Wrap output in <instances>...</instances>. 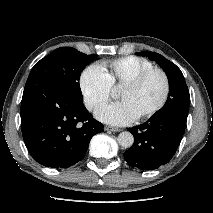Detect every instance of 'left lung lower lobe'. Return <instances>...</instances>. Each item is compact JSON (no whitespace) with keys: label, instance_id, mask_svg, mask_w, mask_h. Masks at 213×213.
Instances as JSON below:
<instances>
[{"label":"left lung lower lobe","instance_id":"0a47b994","mask_svg":"<svg viewBox=\"0 0 213 213\" xmlns=\"http://www.w3.org/2000/svg\"><path fill=\"white\" fill-rule=\"evenodd\" d=\"M187 116L179 111H165L127 129L135 139L124 153L127 163L140 170H152L168 163L183 137Z\"/></svg>","mask_w":213,"mask_h":213}]
</instances>
